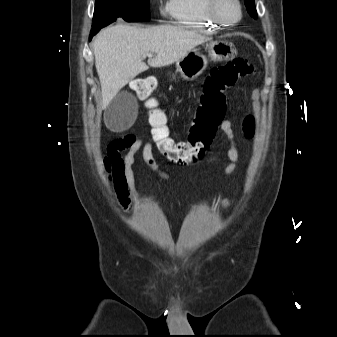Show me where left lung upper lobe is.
I'll use <instances>...</instances> for the list:
<instances>
[{"instance_id":"1","label":"left lung upper lobe","mask_w":337,"mask_h":337,"mask_svg":"<svg viewBox=\"0 0 337 337\" xmlns=\"http://www.w3.org/2000/svg\"><path fill=\"white\" fill-rule=\"evenodd\" d=\"M245 5L247 7L248 13L253 17L257 18L256 8L254 6V0H245Z\"/></svg>"}]
</instances>
